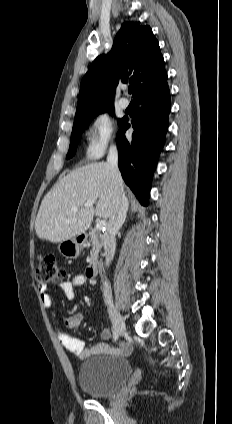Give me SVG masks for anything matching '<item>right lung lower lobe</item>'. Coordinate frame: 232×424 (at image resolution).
<instances>
[{
	"label": "right lung lower lobe",
	"instance_id": "right-lung-lower-lobe-1",
	"mask_svg": "<svg viewBox=\"0 0 232 424\" xmlns=\"http://www.w3.org/2000/svg\"><path fill=\"white\" fill-rule=\"evenodd\" d=\"M134 103L136 112L131 123L134 128L132 139L125 137V131L130 127L127 120L122 122L116 136L118 161L125 183L146 206L151 179L168 128L171 102L167 73L153 87L138 94Z\"/></svg>",
	"mask_w": 232,
	"mask_h": 424
}]
</instances>
